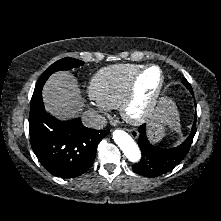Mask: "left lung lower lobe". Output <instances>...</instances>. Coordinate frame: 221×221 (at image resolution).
Here are the masks:
<instances>
[{
    "mask_svg": "<svg viewBox=\"0 0 221 221\" xmlns=\"http://www.w3.org/2000/svg\"><path fill=\"white\" fill-rule=\"evenodd\" d=\"M196 133V116L187 139L179 146L163 149L153 146L146 136V126L139 127L138 145L141 159L133 165V170L145 177H156L171 171L187 155Z\"/></svg>",
    "mask_w": 221,
    "mask_h": 221,
    "instance_id": "1",
    "label": "left lung lower lobe"
}]
</instances>
